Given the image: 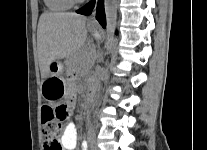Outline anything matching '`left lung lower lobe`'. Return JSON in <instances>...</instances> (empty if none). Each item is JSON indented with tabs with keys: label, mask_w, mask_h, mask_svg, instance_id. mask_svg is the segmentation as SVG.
Listing matches in <instances>:
<instances>
[{
	"label": "left lung lower lobe",
	"mask_w": 207,
	"mask_h": 150,
	"mask_svg": "<svg viewBox=\"0 0 207 150\" xmlns=\"http://www.w3.org/2000/svg\"><path fill=\"white\" fill-rule=\"evenodd\" d=\"M95 5L97 6L96 19L101 24V26L105 28L106 18H105V13H104L103 0H98V1L93 0L89 2L88 4H86L84 7L78 9L76 12L82 15H89Z\"/></svg>",
	"instance_id": "obj_1"
}]
</instances>
